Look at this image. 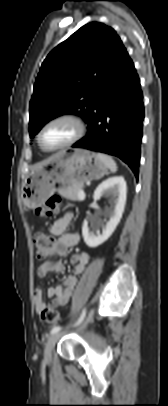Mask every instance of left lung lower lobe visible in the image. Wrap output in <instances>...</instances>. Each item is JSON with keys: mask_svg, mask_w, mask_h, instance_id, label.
<instances>
[{"mask_svg": "<svg viewBox=\"0 0 168 406\" xmlns=\"http://www.w3.org/2000/svg\"><path fill=\"white\" fill-rule=\"evenodd\" d=\"M143 119L139 77L125 49L100 89L87 136L72 147L117 156L138 178Z\"/></svg>", "mask_w": 168, "mask_h": 406, "instance_id": "1", "label": "left lung lower lobe"}]
</instances>
